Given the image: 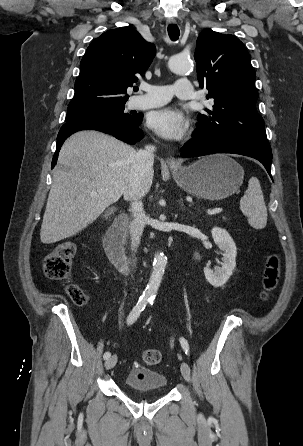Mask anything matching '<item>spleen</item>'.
Here are the masks:
<instances>
[{
  "label": "spleen",
  "instance_id": "obj_1",
  "mask_svg": "<svg viewBox=\"0 0 303 446\" xmlns=\"http://www.w3.org/2000/svg\"><path fill=\"white\" fill-rule=\"evenodd\" d=\"M240 209L253 228L262 229L266 226L267 208L260 182L256 177L250 178L248 188L240 200Z\"/></svg>",
  "mask_w": 303,
  "mask_h": 446
}]
</instances>
